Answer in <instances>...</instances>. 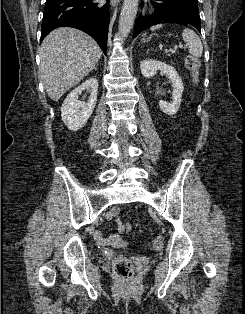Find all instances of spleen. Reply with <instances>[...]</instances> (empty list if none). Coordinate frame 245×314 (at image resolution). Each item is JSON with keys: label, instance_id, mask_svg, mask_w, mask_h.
Wrapping results in <instances>:
<instances>
[{"label": "spleen", "instance_id": "obj_1", "mask_svg": "<svg viewBox=\"0 0 245 314\" xmlns=\"http://www.w3.org/2000/svg\"><path fill=\"white\" fill-rule=\"evenodd\" d=\"M162 26H163L162 24H158L152 26L150 30L155 31L160 29ZM143 35H146V33H144ZM182 37L188 46L189 53L196 58L201 57L203 52V45L200 38L196 35V33L193 30L186 28L182 32Z\"/></svg>", "mask_w": 245, "mask_h": 314}]
</instances>
